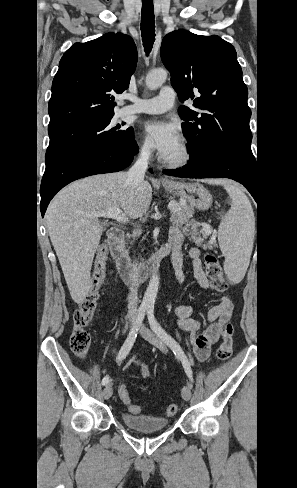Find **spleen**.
<instances>
[{
	"instance_id": "3e777b00",
	"label": "spleen",
	"mask_w": 297,
	"mask_h": 488,
	"mask_svg": "<svg viewBox=\"0 0 297 488\" xmlns=\"http://www.w3.org/2000/svg\"><path fill=\"white\" fill-rule=\"evenodd\" d=\"M231 197V208L222 218L218 240L225 256L224 271L233 283H239L249 266L255 234L252 206L243 190L231 182L225 183Z\"/></svg>"
}]
</instances>
